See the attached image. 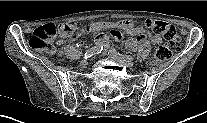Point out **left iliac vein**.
I'll list each match as a JSON object with an SVG mask.
<instances>
[{
	"label": "left iliac vein",
	"instance_id": "left-iliac-vein-1",
	"mask_svg": "<svg viewBox=\"0 0 207 123\" xmlns=\"http://www.w3.org/2000/svg\"><path fill=\"white\" fill-rule=\"evenodd\" d=\"M109 57L112 60H114V61H116V62H118V63H120L122 65H125L126 67H133V65H134L133 62H132V60L123 58V57L118 56V55H114L112 53H109Z\"/></svg>",
	"mask_w": 207,
	"mask_h": 123
}]
</instances>
